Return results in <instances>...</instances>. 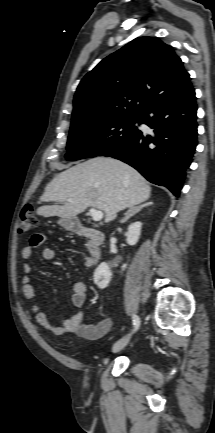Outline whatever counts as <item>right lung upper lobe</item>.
<instances>
[{"label": "right lung upper lobe", "mask_w": 215, "mask_h": 433, "mask_svg": "<svg viewBox=\"0 0 215 433\" xmlns=\"http://www.w3.org/2000/svg\"><path fill=\"white\" fill-rule=\"evenodd\" d=\"M189 82L171 46L155 37L136 38L81 80L71 125L142 116L156 101Z\"/></svg>", "instance_id": "1"}]
</instances>
